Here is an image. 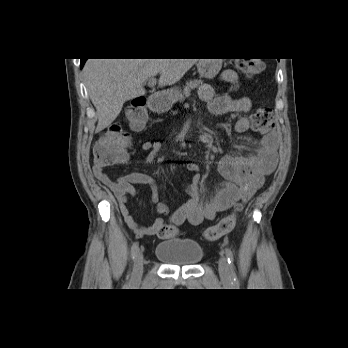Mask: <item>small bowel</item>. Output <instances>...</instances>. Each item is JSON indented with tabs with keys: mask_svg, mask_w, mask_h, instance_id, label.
Wrapping results in <instances>:
<instances>
[{
	"mask_svg": "<svg viewBox=\"0 0 348 348\" xmlns=\"http://www.w3.org/2000/svg\"><path fill=\"white\" fill-rule=\"evenodd\" d=\"M223 83L231 89L239 87V76L234 70H226L221 75ZM199 96L207 103L208 109L215 115L238 112L246 114L251 108L248 97L233 99L228 94L216 95L212 85L204 83L199 87ZM250 128L246 115L240 116L235 124L234 131L244 133ZM140 149L147 152L146 161L152 164L160 151L162 144L158 141H146ZM278 136L271 133L265 136L258 148L251 154L244 156L225 155L218 163L220 173L227 179L225 185L210 201L203 202L199 190L200 174L198 166L194 163L187 165V169L194 173L193 181L185 185L189 199L175 212L169 215V223L173 226L181 225L188 221L192 225H200L205 220L214 219L219 212L229 209L234 202H248L257 190L264 184L266 176L271 174L278 162ZM128 161V155L118 164ZM95 177L114 193L121 215L128 226L138 236H152L159 233L165 225L163 217H157L150 226H141L130 213L127 202L136 194L135 184H149L153 187L151 201L156 203V212L160 215L169 214L168 204L162 200V190L156 180L143 173H128L112 180L105 172L104 166H93Z\"/></svg>",
	"mask_w": 348,
	"mask_h": 348,
	"instance_id": "small-bowel-1",
	"label": "small bowel"
}]
</instances>
